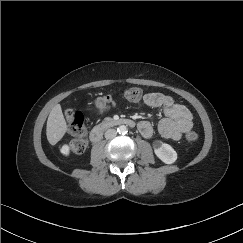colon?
<instances>
[{
  "instance_id": "5ec220e1",
  "label": "colon",
  "mask_w": 243,
  "mask_h": 243,
  "mask_svg": "<svg viewBox=\"0 0 243 243\" xmlns=\"http://www.w3.org/2000/svg\"><path fill=\"white\" fill-rule=\"evenodd\" d=\"M126 99L130 101H138L142 96V90L139 87H130L124 93ZM66 118L68 121L71 133L76 137L71 143L70 148L75 153H83L87 148V141L85 140V118L81 111L68 110L66 111ZM198 133L190 131L186 134V141L189 143L198 140Z\"/></svg>"
}]
</instances>
